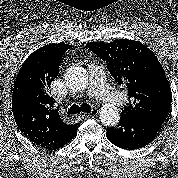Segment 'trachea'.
<instances>
[{"label": "trachea", "mask_w": 178, "mask_h": 178, "mask_svg": "<svg viewBox=\"0 0 178 178\" xmlns=\"http://www.w3.org/2000/svg\"><path fill=\"white\" fill-rule=\"evenodd\" d=\"M80 112L84 113H89L91 112V106L88 104L83 103L80 107L76 104H73L69 109H68V114H77Z\"/></svg>", "instance_id": "1"}]
</instances>
